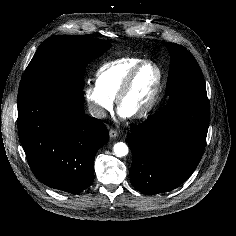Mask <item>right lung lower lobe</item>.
Returning <instances> with one entry per match:
<instances>
[{"instance_id": "1", "label": "right lung lower lobe", "mask_w": 236, "mask_h": 236, "mask_svg": "<svg viewBox=\"0 0 236 236\" xmlns=\"http://www.w3.org/2000/svg\"><path fill=\"white\" fill-rule=\"evenodd\" d=\"M18 133L36 178L72 194L92 183L95 154L109 139L105 125L84 113L81 90L64 85L18 94Z\"/></svg>"}]
</instances>
